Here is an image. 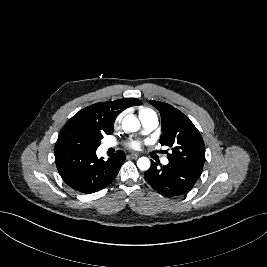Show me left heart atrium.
I'll list each match as a JSON object with an SVG mask.
<instances>
[{
    "label": "left heart atrium",
    "instance_id": "left-heart-atrium-1",
    "mask_svg": "<svg viewBox=\"0 0 267 267\" xmlns=\"http://www.w3.org/2000/svg\"><path fill=\"white\" fill-rule=\"evenodd\" d=\"M141 146V143L138 141H133L130 143V147L134 148V149H138Z\"/></svg>",
    "mask_w": 267,
    "mask_h": 267
}]
</instances>
